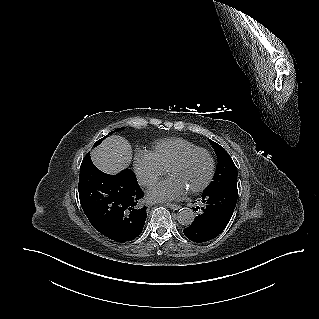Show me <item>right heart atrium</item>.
<instances>
[{"instance_id": "d8ad5b80", "label": "right heart atrium", "mask_w": 319, "mask_h": 319, "mask_svg": "<svg viewBox=\"0 0 319 319\" xmlns=\"http://www.w3.org/2000/svg\"><path fill=\"white\" fill-rule=\"evenodd\" d=\"M133 168L139 183L144 187L151 186L165 174V169L156 162L150 152H136Z\"/></svg>"}]
</instances>
